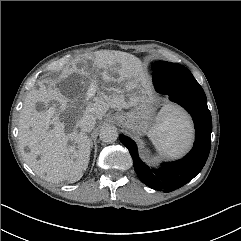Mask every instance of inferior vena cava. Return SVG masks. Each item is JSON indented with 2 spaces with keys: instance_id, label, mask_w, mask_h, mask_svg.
Listing matches in <instances>:
<instances>
[{
  "instance_id": "obj_1",
  "label": "inferior vena cava",
  "mask_w": 241,
  "mask_h": 241,
  "mask_svg": "<svg viewBox=\"0 0 241 241\" xmlns=\"http://www.w3.org/2000/svg\"><path fill=\"white\" fill-rule=\"evenodd\" d=\"M96 117L93 114L86 113L82 116L79 122V126L82 131L90 132L95 127Z\"/></svg>"
}]
</instances>
